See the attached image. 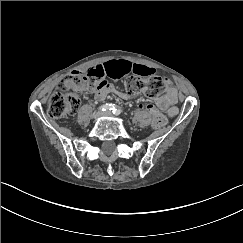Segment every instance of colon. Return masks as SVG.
Instances as JSON below:
<instances>
[{
	"label": "colon",
	"instance_id": "colon-1",
	"mask_svg": "<svg viewBox=\"0 0 243 243\" xmlns=\"http://www.w3.org/2000/svg\"><path fill=\"white\" fill-rule=\"evenodd\" d=\"M100 77L89 73L73 72L61 81V90L55 91L48 104L47 113L52 119H60L76 112L80 103V95L96 91L104 82ZM128 95L144 94L156 98L163 93H172L173 89L160 77L141 78L129 77L124 83ZM152 115V126L156 129L165 127L168 119L157 111L154 106L145 107Z\"/></svg>",
	"mask_w": 243,
	"mask_h": 243
}]
</instances>
